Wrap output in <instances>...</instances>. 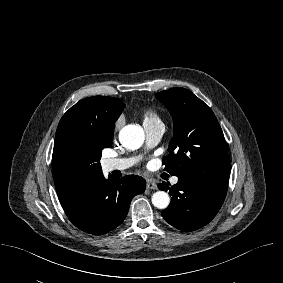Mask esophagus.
<instances>
[{
    "instance_id": "esophagus-1",
    "label": "esophagus",
    "mask_w": 283,
    "mask_h": 283,
    "mask_svg": "<svg viewBox=\"0 0 283 283\" xmlns=\"http://www.w3.org/2000/svg\"><path fill=\"white\" fill-rule=\"evenodd\" d=\"M146 187H147V189L156 190L157 189V184H156L155 181L147 180Z\"/></svg>"
}]
</instances>
